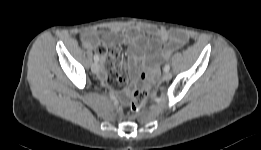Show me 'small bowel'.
Returning <instances> with one entry per match:
<instances>
[{
	"label": "small bowel",
	"mask_w": 261,
	"mask_h": 150,
	"mask_svg": "<svg viewBox=\"0 0 261 150\" xmlns=\"http://www.w3.org/2000/svg\"><path fill=\"white\" fill-rule=\"evenodd\" d=\"M80 39L84 47L96 49L104 57L105 73L102 72L100 76L105 78L109 87L119 89L123 78L115 65L117 43L128 46V72L131 81L135 82L142 69L148 71L151 80H155L159 71L156 58L168 59L185 44L187 36L181 31L158 27L113 26L109 33L104 34L103 39L96 29L83 31Z\"/></svg>",
	"instance_id": "1"
}]
</instances>
